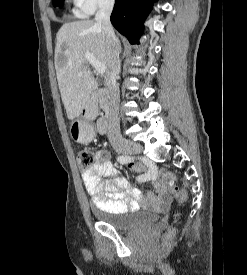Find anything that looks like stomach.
Returning <instances> with one entry per match:
<instances>
[{
	"label": "stomach",
	"mask_w": 247,
	"mask_h": 275,
	"mask_svg": "<svg viewBox=\"0 0 247 275\" xmlns=\"http://www.w3.org/2000/svg\"><path fill=\"white\" fill-rule=\"evenodd\" d=\"M70 134L73 140L79 143H86L94 136V131L90 125L82 121H74L70 127Z\"/></svg>",
	"instance_id": "1"
}]
</instances>
